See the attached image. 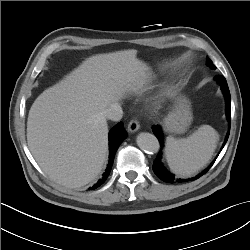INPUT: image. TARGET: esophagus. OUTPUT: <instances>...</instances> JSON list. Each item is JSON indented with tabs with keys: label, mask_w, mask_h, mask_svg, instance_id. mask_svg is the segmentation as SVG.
<instances>
[{
	"label": "esophagus",
	"mask_w": 250,
	"mask_h": 250,
	"mask_svg": "<svg viewBox=\"0 0 250 250\" xmlns=\"http://www.w3.org/2000/svg\"><path fill=\"white\" fill-rule=\"evenodd\" d=\"M140 129V124L136 119H132L128 124V131L134 133Z\"/></svg>",
	"instance_id": "1"
}]
</instances>
